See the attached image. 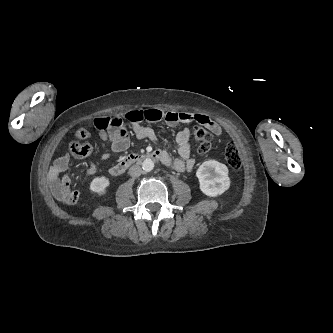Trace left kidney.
<instances>
[{
    "label": "left kidney",
    "mask_w": 333,
    "mask_h": 333,
    "mask_svg": "<svg viewBox=\"0 0 333 333\" xmlns=\"http://www.w3.org/2000/svg\"><path fill=\"white\" fill-rule=\"evenodd\" d=\"M196 176L199 179L200 190L210 197L224 193L230 186L227 166L215 160L202 163Z\"/></svg>",
    "instance_id": "1"
}]
</instances>
